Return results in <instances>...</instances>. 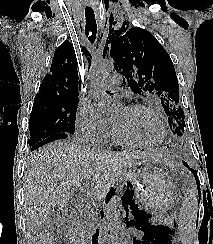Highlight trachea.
I'll return each instance as SVG.
<instances>
[{
  "label": "trachea",
  "mask_w": 213,
  "mask_h": 244,
  "mask_svg": "<svg viewBox=\"0 0 213 244\" xmlns=\"http://www.w3.org/2000/svg\"><path fill=\"white\" fill-rule=\"evenodd\" d=\"M85 15H86L85 34L88 37L90 42H94L96 39L97 25H96L93 9L90 7L86 8Z\"/></svg>",
  "instance_id": "obj_1"
}]
</instances>
